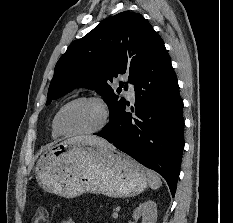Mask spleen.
<instances>
[{"instance_id": "1", "label": "spleen", "mask_w": 233, "mask_h": 223, "mask_svg": "<svg viewBox=\"0 0 233 223\" xmlns=\"http://www.w3.org/2000/svg\"><path fill=\"white\" fill-rule=\"evenodd\" d=\"M147 177L151 189H157V187H160V185H162V181L159 175H157L156 171H152V169H148Z\"/></svg>"}]
</instances>
